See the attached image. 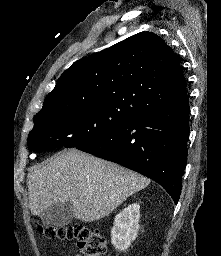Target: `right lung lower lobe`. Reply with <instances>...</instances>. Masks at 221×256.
I'll return each instance as SVG.
<instances>
[{"label": "right lung lower lobe", "instance_id": "1", "mask_svg": "<svg viewBox=\"0 0 221 256\" xmlns=\"http://www.w3.org/2000/svg\"><path fill=\"white\" fill-rule=\"evenodd\" d=\"M188 100L142 113L77 149L159 183L177 204L187 161Z\"/></svg>", "mask_w": 221, "mask_h": 256}]
</instances>
